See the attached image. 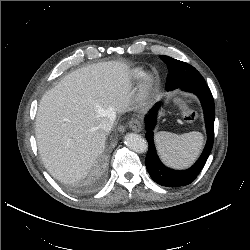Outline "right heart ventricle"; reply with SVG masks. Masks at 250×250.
Instances as JSON below:
<instances>
[{"instance_id": "obj_1", "label": "right heart ventricle", "mask_w": 250, "mask_h": 250, "mask_svg": "<svg viewBox=\"0 0 250 250\" xmlns=\"http://www.w3.org/2000/svg\"><path fill=\"white\" fill-rule=\"evenodd\" d=\"M144 75V71L141 68H136L131 72L132 79H140Z\"/></svg>"}]
</instances>
